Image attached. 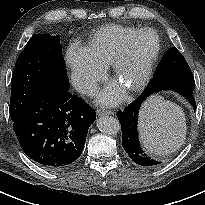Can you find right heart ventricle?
<instances>
[{"instance_id":"1","label":"right heart ventricle","mask_w":205,"mask_h":205,"mask_svg":"<svg viewBox=\"0 0 205 205\" xmlns=\"http://www.w3.org/2000/svg\"><path fill=\"white\" fill-rule=\"evenodd\" d=\"M138 30L120 25L103 27L94 34L89 52L98 63L110 65L124 49L128 39Z\"/></svg>"}]
</instances>
